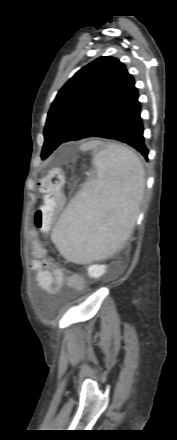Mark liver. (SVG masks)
Instances as JSON below:
<instances>
[{
    "label": "liver",
    "instance_id": "obj_1",
    "mask_svg": "<svg viewBox=\"0 0 177 440\" xmlns=\"http://www.w3.org/2000/svg\"><path fill=\"white\" fill-rule=\"evenodd\" d=\"M89 147V145H84L82 146V149H87Z\"/></svg>",
    "mask_w": 177,
    "mask_h": 440
}]
</instances>
